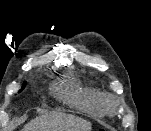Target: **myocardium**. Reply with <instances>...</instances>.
Segmentation results:
<instances>
[{
  "mask_svg": "<svg viewBox=\"0 0 151 131\" xmlns=\"http://www.w3.org/2000/svg\"><path fill=\"white\" fill-rule=\"evenodd\" d=\"M106 108L109 112H114L117 108V100L113 97L107 98Z\"/></svg>",
  "mask_w": 151,
  "mask_h": 131,
  "instance_id": "1",
  "label": "myocardium"
}]
</instances>
